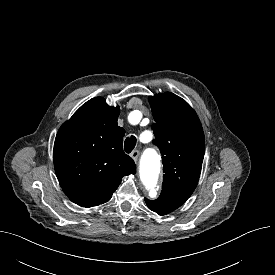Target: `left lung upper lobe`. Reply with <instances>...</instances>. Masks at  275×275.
Here are the masks:
<instances>
[{"label":"left lung upper lobe","mask_w":275,"mask_h":275,"mask_svg":"<svg viewBox=\"0 0 275 275\" xmlns=\"http://www.w3.org/2000/svg\"><path fill=\"white\" fill-rule=\"evenodd\" d=\"M149 102L155 120L153 142L164 165L160 197L188 199L197 186L205 152L199 118L184 99L170 92L150 96Z\"/></svg>","instance_id":"obj_1"}]
</instances>
